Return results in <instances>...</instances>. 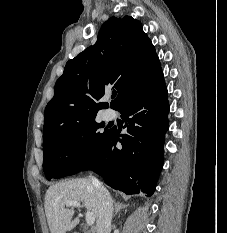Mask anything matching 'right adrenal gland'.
<instances>
[{"mask_svg":"<svg viewBox=\"0 0 227 233\" xmlns=\"http://www.w3.org/2000/svg\"><path fill=\"white\" fill-rule=\"evenodd\" d=\"M114 206H115V212L113 214V217H115L121 209L126 208L128 205L121 204L114 200Z\"/></svg>","mask_w":227,"mask_h":233,"instance_id":"obj_1","label":"right adrenal gland"}]
</instances>
